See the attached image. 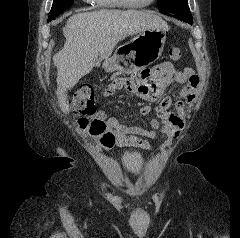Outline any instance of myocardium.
<instances>
[{"label": "myocardium", "mask_w": 240, "mask_h": 238, "mask_svg": "<svg viewBox=\"0 0 240 238\" xmlns=\"http://www.w3.org/2000/svg\"><path fill=\"white\" fill-rule=\"evenodd\" d=\"M119 1L125 7H145L152 4L155 0H148L146 2H138V1L134 2L130 0H119Z\"/></svg>", "instance_id": "1"}]
</instances>
